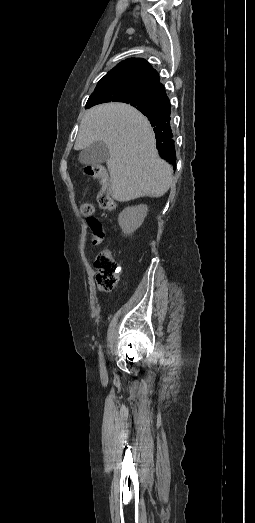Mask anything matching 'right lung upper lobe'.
I'll return each mask as SVG.
<instances>
[{"label": "right lung upper lobe", "instance_id": "cb5924a9", "mask_svg": "<svg viewBox=\"0 0 255 523\" xmlns=\"http://www.w3.org/2000/svg\"><path fill=\"white\" fill-rule=\"evenodd\" d=\"M128 89H139L147 93L143 102H130L148 117L154 127L157 149L167 162L176 165V153L170 126V101L157 71L144 59L131 58L122 61L110 70L97 84L89 97L86 108L110 102L105 96Z\"/></svg>", "mask_w": 255, "mask_h": 523}]
</instances>
